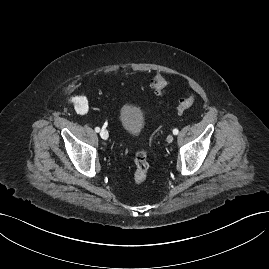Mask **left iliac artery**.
I'll return each instance as SVG.
<instances>
[{
  "instance_id": "1",
  "label": "left iliac artery",
  "mask_w": 269,
  "mask_h": 269,
  "mask_svg": "<svg viewBox=\"0 0 269 269\" xmlns=\"http://www.w3.org/2000/svg\"><path fill=\"white\" fill-rule=\"evenodd\" d=\"M179 133L178 129H173V134L177 135Z\"/></svg>"
}]
</instances>
